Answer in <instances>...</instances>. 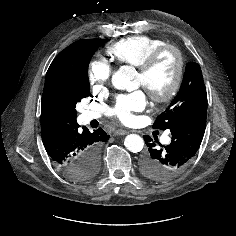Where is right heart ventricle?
Returning <instances> with one entry per match:
<instances>
[{"label":"right heart ventricle","mask_w":236,"mask_h":236,"mask_svg":"<svg viewBox=\"0 0 236 236\" xmlns=\"http://www.w3.org/2000/svg\"><path fill=\"white\" fill-rule=\"evenodd\" d=\"M166 42L160 38L137 35L123 38L107 49V54L118 63L139 67L145 59Z\"/></svg>","instance_id":"1"}]
</instances>
